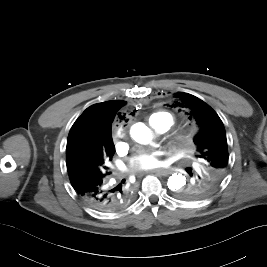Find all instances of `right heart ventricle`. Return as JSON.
Segmentation results:
<instances>
[{
	"mask_svg": "<svg viewBox=\"0 0 267 267\" xmlns=\"http://www.w3.org/2000/svg\"><path fill=\"white\" fill-rule=\"evenodd\" d=\"M162 122H166L169 128L174 124L175 120L172 114L168 112H157L149 117V123L153 128H157Z\"/></svg>",
	"mask_w": 267,
	"mask_h": 267,
	"instance_id": "right-heart-ventricle-1",
	"label": "right heart ventricle"
}]
</instances>
